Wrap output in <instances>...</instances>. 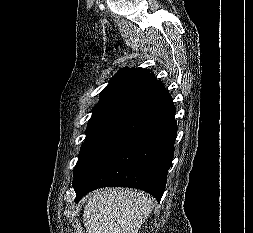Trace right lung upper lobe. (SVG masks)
Returning <instances> with one entry per match:
<instances>
[{
    "label": "right lung upper lobe",
    "mask_w": 253,
    "mask_h": 233,
    "mask_svg": "<svg viewBox=\"0 0 253 233\" xmlns=\"http://www.w3.org/2000/svg\"><path fill=\"white\" fill-rule=\"evenodd\" d=\"M163 86L148 69L119 70L100 94L99 103L130 101L137 103ZM98 103V104H99Z\"/></svg>",
    "instance_id": "1"
}]
</instances>
